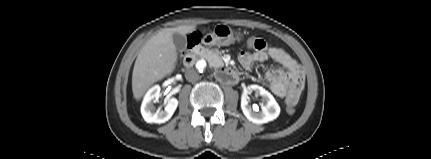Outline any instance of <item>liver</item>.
Listing matches in <instances>:
<instances>
[{"mask_svg":"<svg viewBox=\"0 0 431 159\" xmlns=\"http://www.w3.org/2000/svg\"><path fill=\"white\" fill-rule=\"evenodd\" d=\"M195 30V25L162 29L145 43L132 74V91L136 100H140L150 86L175 70L178 56L173 34L186 35Z\"/></svg>","mask_w":431,"mask_h":159,"instance_id":"liver-1","label":"liver"}]
</instances>
